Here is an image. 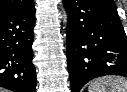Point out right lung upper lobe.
<instances>
[{
	"label": "right lung upper lobe",
	"instance_id": "1",
	"mask_svg": "<svg viewBox=\"0 0 127 92\" xmlns=\"http://www.w3.org/2000/svg\"><path fill=\"white\" fill-rule=\"evenodd\" d=\"M33 0H0V15L3 13L25 9L31 6Z\"/></svg>",
	"mask_w": 127,
	"mask_h": 92
}]
</instances>
